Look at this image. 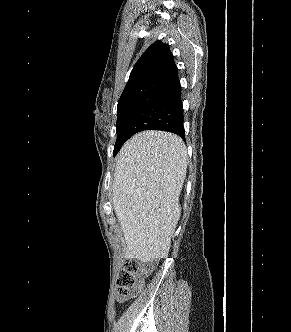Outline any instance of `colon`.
I'll return each instance as SVG.
<instances>
[{"label":"colon","mask_w":291,"mask_h":332,"mask_svg":"<svg viewBox=\"0 0 291 332\" xmlns=\"http://www.w3.org/2000/svg\"><path fill=\"white\" fill-rule=\"evenodd\" d=\"M151 269V265H144L136 260L124 261L117 278L118 300L124 301L139 292Z\"/></svg>","instance_id":"1"}]
</instances>
